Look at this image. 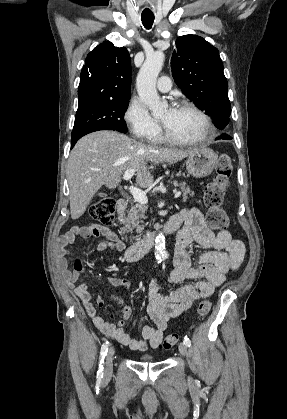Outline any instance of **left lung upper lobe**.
Masks as SVG:
<instances>
[{"mask_svg": "<svg viewBox=\"0 0 287 419\" xmlns=\"http://www.w3.org/2000/svg\"><path fill=\"white\" fill-rule=\"evenodd\" d=\"M171 67L182 92L211 117L218 129L226 130L231 105L218 49L200 36H180L176 40Z\"/></svg>", "mask_w": 287, "mask_h": 419, "instance_id": "left-lung-upper-lobe-1", "label": "left lung upper lobe"}]
</instances>
